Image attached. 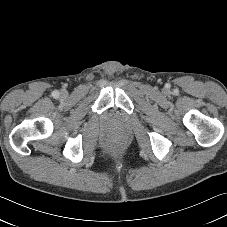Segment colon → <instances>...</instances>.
<instances>
[{
    "label": "colon",
    "instance_id": "1",
    "mask_svg": "<svg viewBox=\"0 0 227 227\" xmlns=\"http://www.w3.org/2000/svg\"><path fill=\"white\" fill-rule=\"evenodd\" d=\"M124 147V142L121 139H115L111 143V149L114 153H119Z\"/></svg>",
    "mask_w": 227,
    "mask_h": 227
}]
</instances>
